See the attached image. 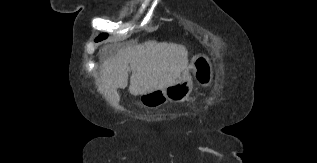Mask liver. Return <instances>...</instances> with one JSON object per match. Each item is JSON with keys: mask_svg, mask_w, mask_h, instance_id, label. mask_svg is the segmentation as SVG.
Listing matches in <instances>:
<instances>
[{"mask_svg": "<svg viewBox=\"0 0 317 163\" xmlns=\"http://www.w3.org/2000/svg\"><path fill=\"white\" fill-rule=\"evenodd\" d=\"M187 69L188 51L183 45L149 40L121 49L103 62L99 92L117 107V89L127 87L129 70V92L137 96L174 83Z\"/></svg>", "mask_w": 317, "mask_h": 163, "instance_id": "obj_1", "label": "liver"}]
</instances>
